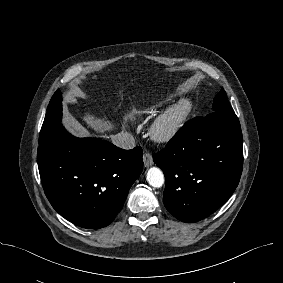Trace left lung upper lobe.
Segmentation results:
<instances>
[{"instance_id": "5c2ea615", "label": "left lung upper lobe", "mask_w": 283, "mask_h": 283, "mask_svg": "<svg viewBox=\"0 0 283 283\" xmlns=\"http://www.w3.org/2000/svg\"><path fill=\"white\" fill-rule=\"evenodd\" d=\"M213 111H233L224 89L214 98Z\"/></svg>"}]
</instances>
